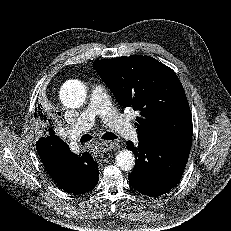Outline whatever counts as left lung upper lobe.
Listing matches in <instances>:
<instances>
[{
	"mask_svg": "<svg viewBox=\"0 0 231 231\" xmlns=\"http://www.w3.org/2000/svg\"><path fill=\"white\" fill-rule=\"evenodd\" d=\"M93 68L123 107L139 112L138 140L190 152L192 115L176 73L150 56L94 62Z\"/></svg>",
	"mask_w": 231,
	"mask_h": 231,
	"instance_id": "1",
	"label": "left lung upper lobe"
}]
</instances>
